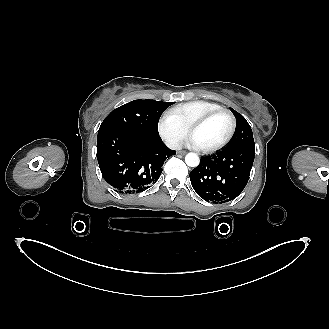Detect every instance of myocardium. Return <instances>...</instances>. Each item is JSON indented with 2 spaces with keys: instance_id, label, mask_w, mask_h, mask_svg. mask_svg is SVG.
<instances>
[{
  "instance_id": "myocardium-1",
  "label": "myocardium",
  "mask_w": 329,
  "mask_h": 329,
  "mask_svg": "<svg viewBox=\"0 0 329 329\" xmlns=\"http://www.w3.org/2000/svg\"><path fill=\"white\" fill-rule=\"evenodd\" d=\"M220 114H225L226 116H228V118L230 119V130L229 133L227 134V136L225 137L224 140H222L220 143L208 147V148H198L199 151H201L202 153H212L215 152L221 148H223L224 146H226L232 139V137L234 136L235 130H236V119L235 116L233 115V113L226 108H221V109H217L214 110L210 113H207L206 115L200 117L199 119L195 120L194 122H192L188 128V132L191 135L192 132L202 126L203 124H205L206 122H208L210 119L220 115Z\"/></svg>"
}]
</instances>
